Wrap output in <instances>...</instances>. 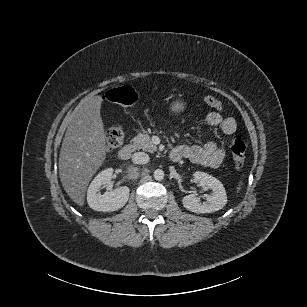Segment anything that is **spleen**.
<instances>
[{"label": "spleen", "mask_w": 307, "mask_h": 307, "mask_svg": "<svg viewBox=\"0 0 307 307\" xmlns=\"http://www.w3.org/2000/svg\"><path fill=\"white\" fill-rule=\"evenodd\" d=\"M245 176H246V175L243 174V175L241 176V178L238 180L237 185H236V188H235L236 193H240V191L242 190V188H243V186H244V184H245V182H244Z\"/></svg>", "instance_id": "obj_1"}]
</instances>
